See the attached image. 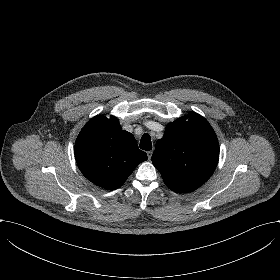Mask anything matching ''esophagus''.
<instances>
[{
	"label": "esophagus",
	"instance_id": "esophagus-1",
	"mask_svg": "<svg viewBox=\"0 0 280 280\" xmlns=\"http://www.w3.org/2000/svg\"><path fill=\"white\" fill-rule=\"evenodd\" d=\"M152 153H153L152 150H148V151H147V156H148V159H149V160L151 159Z\"/></svg>",
	"mask_w": 280,
	"mask_h": 280
}]
</instances>
